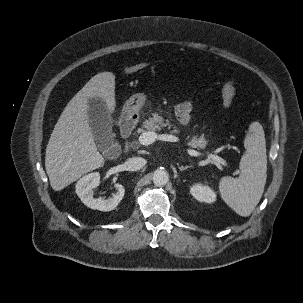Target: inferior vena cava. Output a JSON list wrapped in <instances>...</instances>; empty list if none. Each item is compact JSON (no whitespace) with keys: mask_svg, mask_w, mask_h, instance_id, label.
<instances>
[{"mask_svg":"<svg viewBox=\"0 0 303 303\" xmlns=\"http://www.w3.org/2000/svg\"><path fill=\"white\" fill-rule=\"evenodd\" d=\"M146 164V160L142 157H133L125 162L126 170L138 171L142 169Z\"/></svg>","mask_w":303,"mask_h":303,"instance_id":"obj_1","label":"inferior vena cava"}]
</instances>
